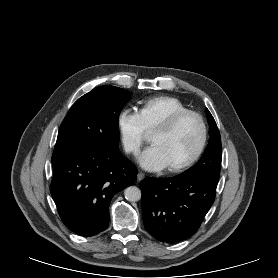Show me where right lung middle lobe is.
Returning a JSON list of instances; mask_svg holds the SVG:
<instances>
[{"label": "right lung middle lobe", "mask_w": 278, "mask_h": 278, "mask_svg": "<svg viewBox=\"0 0 278 278\" xmlns=\"http://www.w3.org/2000/svg\"><path fill=\"white\" fill-rule=\"evenodd\" d=\"M130 93L114 86H99L79 98L64 118L53 156L92 147H118L119 114Z\"/></svg>", "instance_id": "dd1d6c3e"}]
</instances>
